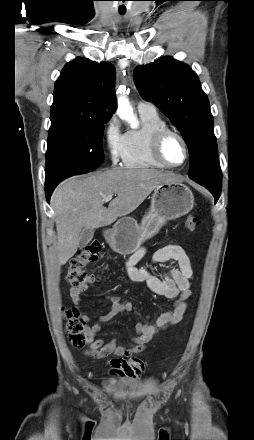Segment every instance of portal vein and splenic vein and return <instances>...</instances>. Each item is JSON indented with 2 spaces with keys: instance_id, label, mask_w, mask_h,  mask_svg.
Segmentation results:
<instances>
[{
  "instance_id": "18ae733b",
  "label": "portal vein and splenic vein",
  "mask_w": 254,
  "mask_h": 440,
  "mask_svg": "<svg viewBox=\"0 0 254 440\" xmlns=\"http://www.w3.org/2000/svg\"><path fill=\"white\" fill-rule=\"evenodd\" d=\"M113 198V194H109L104 197V201H110Z\"/></svg>"
}]
</instances>
